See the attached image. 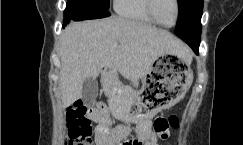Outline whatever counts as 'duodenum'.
Segmentation results:
<instances>
[{"mask_svg":"<svg viewBox=\"0 0 243 145\" xmlns=\"http://www.w3.org/2000/svg\"><path fill=\"white\" fill-rule=\"evenodd\" d=\"M105 83L109 85L113 81V70L110 66H105L102 70Z\"/></svg>","mask_w":243,"mask_h":145,"instance_id":"1","label":"duodenum"}]
</instances>
